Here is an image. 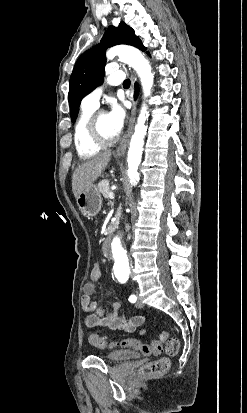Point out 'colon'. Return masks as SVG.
<instances>
[{
    "mask_svg": "<svg viewBox=\"0 0 247 413\" xmlns=\"http://www.w3.org/2000/svg\"><path fill=\"white\" fill-rule=\"evenodd\" d=\"M92 273L94 275H99L101 273V264L95 262L92 264ZM89 342L95 346L112 348L117 345L131 347L135 350L141 351L144 354H152L151 346L155 345L153 348L155 355H160L161 351L164 349V344H169L170 348L166 349L167 355H178L180 353L179 340L175 337H171L169 332L164 330H159L157 336H152L150 338V343H144L138 339H125L120 342L112 341L105 342L98 335L94 333H89ZM169 368V359L162 357L152 363L146 364L142 370L140 378L145 380L147 376H155L167 371Z\"/></svg>",
    "mask_w": 247,
    "mask_h": 413,
    "instance_id": "colon-1",
    "label": "colon"
}]
</instances>
